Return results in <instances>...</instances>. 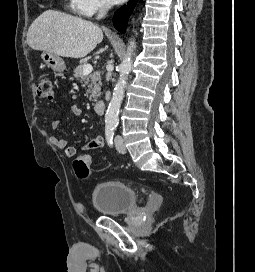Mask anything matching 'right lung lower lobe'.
<instances>
[{"instance_id": "98d812e1", "label": "right lung lower lobe", "mask_w": 255, "mask_h": 272, "mask_svg": "<svg viewBox=\"0 0 255 272\" xmlns=\"http://www.w3.org/2000/svg\"><path fill=\"white\" fill-rule=\"evenodd\" d=\"M138 0H130L126 5L121 7L118 11L115 12L113 22H114V27L124 33L126 31V26H127V21L132 13L136 3Z\"/></svg>"}]
</instances>
